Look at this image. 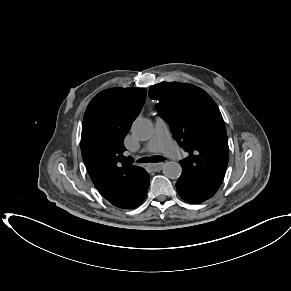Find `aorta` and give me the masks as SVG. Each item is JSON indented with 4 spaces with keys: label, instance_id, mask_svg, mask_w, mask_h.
I'll use <instances>...</instances> for the list:
<instances>
[{
    "label": "aorta",
    "instance_id": "obj_1",
    "mask_svg": "<svg viewBox=\"0 0 291 291\" xmlns=\"http://www.w3.org/2000/svg\"><path fill=\"white\" fill-rule=\"evenodd\" d=\"M131 131L136 139L146 141L152 137L154 128L150 120L137 118L132 125ZM163 173L170 179H178L182 173V167L177 162L169 161L165 163Z\"/></svg>",
    "mask_w": 291,
    "mask_h": 291
}]
</instances>
